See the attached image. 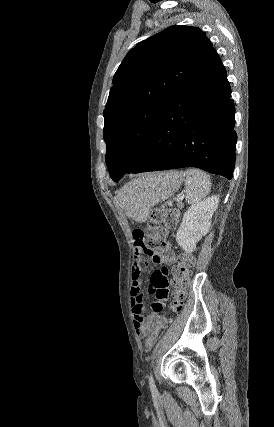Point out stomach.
<instances>
[{
	"label": "stomach",
	"instance_id": "1",
	"mask_svg": "<svg viewBox=\"0 0 274 427\" xmlns=\"http://www.w3.org/2000/svg\"><path fill=\"white\" fill-rule=\"evenodd\" d=\"M181 172H162V174H145L138 180L126 184L122 194V204L128 215L136 221L147 219L152 206L171 198L183 182ZM145 182V184H144Z\"/></svg>",
	"mask_w": 274,
	"mask_h": 427
}]
</instances>
